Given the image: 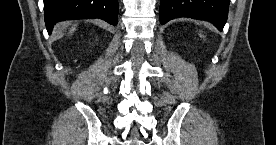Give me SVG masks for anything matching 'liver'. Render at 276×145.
I'll list each match as a JSON object with an SVG mask.
<instances>
[{
  "mask_svg": "<svg viewBox=\"0 0 276 145\" xmlns=\"http://www.w3.org/2000/svg\"><path fill=\"white\" fill-rule=\"evenodd\" d=\"M75 30H76V26H73L72 29L70 30V34L74 33Z\"/></svg>",
  "mask_w": 276,
  "mask_h": 145,
  "instance_id": "liver-1",
  "label": "liver"
}]
</instances>
